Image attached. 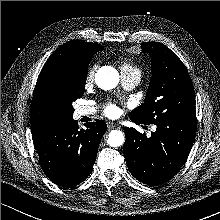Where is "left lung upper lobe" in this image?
<instances>
[{
  "mask_svg": "<svg viewBox=\"0 0 220 220\" xmlns=\"http://www.w3.org/2000/svg\"><path fill=\"white\" fill-rule=\"evenodd\" d=\"M141 49L152 58V76L144 103L129 117L143 124L168 117L196 121L194 88L183 62L160 42L141 43Z\"/></svg>",
  "mask_w": 220,
  "mask_h": 220,
  "instance_id": "obj_1",
  "label": "left lung upper lobe"
}]
</instances>
